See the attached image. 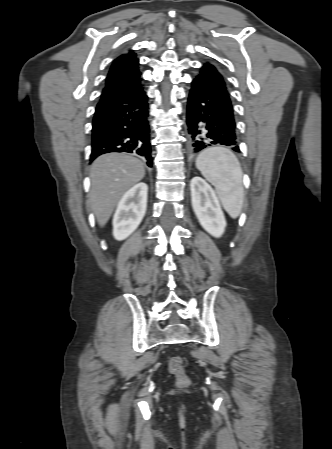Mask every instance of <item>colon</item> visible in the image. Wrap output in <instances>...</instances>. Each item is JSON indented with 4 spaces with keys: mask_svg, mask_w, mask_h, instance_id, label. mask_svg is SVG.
<instances>
[{
    "mask_svg": "<svg viewBox=\"0 0 332 449\" xmlns=\"http://www.w3.org/2000/svg\"><path fill=\"white\" fill-rule=\"evenodd\" d=\"M169 370L177 377L181 386H185L189 383V378L184 370V360L182 357H172L169 361Z\"/></svg>",
    "mask_w": 332,
    "mask_h": 449,
    "instance_id": "obj_1",
    "label": "colon"
}]
</instances>
